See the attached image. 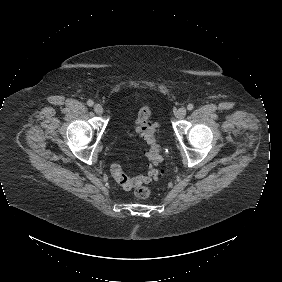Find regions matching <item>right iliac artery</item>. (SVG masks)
<instances>
[{
  "label": "right iliac artery",
  "mask_w": 282,
  "mask_h": 282,
  "mask_svg": "<svg viewBox=\"0 0 282 282\" xmlns=\"http://www.w3.org/2000/svg\"><path fill=\"white\" fill-rule=\"evenodd\" d=\"M93 104H94V102H93L92 100H88V101H87V105H88V106L92 107Z\"/></svg>",
  "instance_id": "right-iliac-artery-1"
}]
</instances>
